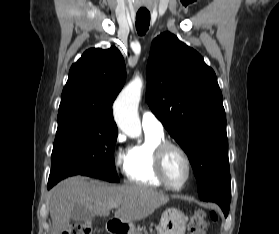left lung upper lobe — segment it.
Here are the masks:
<instances>
[{
  "label": "left lung upper lobe",
  "mask_w": 279,
  "mask_h": 234,
  "mask_svg": "<svg viewBox=\"0 0 279 234\" xmlns=\"http://www.w3.org/2000/svg\"><path fill=\"white\" fill-rule=\"evenodd\" d=\"M146 71L147 103L186 152L200 199L216 202L227 216L231 181L226 114L214 71L169 32L153 40Z\"/></svg>",
  "instance_id": "left-lung-upper-lobe-1"
}]
</instances>
